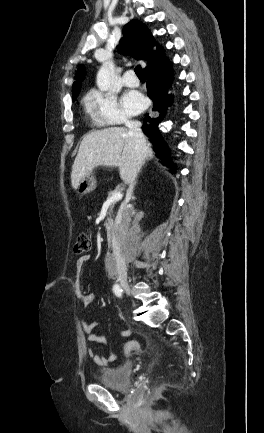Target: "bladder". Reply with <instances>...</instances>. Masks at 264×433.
<instances>
[{
	"label": "bladder",
	"mask_w": 264,
	"mask_h": 433,
	"mask_svg": "<svg viewBox=\"0 0 264 433\" xmlns=\"http://www.w3.org/2000/svg\"><path fill=\"white\" fill-rule=\"evenodd\" d=\"M132 370L131 363H124L116 368H104L99 373V382L114 390H127L131 386Z\"/></svg>",
	"instance_id": "31cf9c89"
}]
</instances>
